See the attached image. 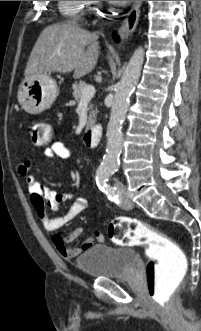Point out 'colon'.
Here are the masks:
<instances>
[{
  "label": "colon",
  "instance_id": "obj_1",
  "mask_svg": "<svg viewBox=\"0 0 201 331\" xmlns=\"http://www.w3.org/2000/svg\"><path fill=\"white\" fill-rule=\"evenodd\" d=\"M30 136L33 144L44 146L53 141L54 130L49 122L36 120L30 125ZM108 236L121 246H146L147 294L157 306L167 307L187 269L186 257L179 246L147 224L128 217L114 219Z\"/></svg>",
  "mask_w": 201,
  "mask_h": 331
}]
</instances>
